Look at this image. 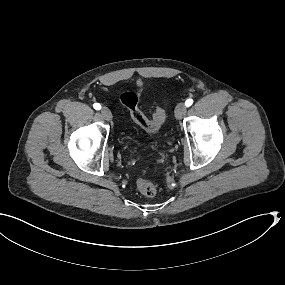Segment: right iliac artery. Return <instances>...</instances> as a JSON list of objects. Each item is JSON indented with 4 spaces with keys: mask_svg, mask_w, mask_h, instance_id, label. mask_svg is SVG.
<instances>
[{
    "mask_svg": "<svg viewBox=\"0 0 285 285\" xmlns=\"http://www.w3.org/2000/svg\"><path fill=\"white\" fill-rule=\"evenodd\" d=\"M93 107H94V109H96V110H100V109H101V105H100L99 103H95V104L93 105Z\"/></svg>",
    "mask_w": 285,
    "mask_h": 285,
    "instance_id": "obj_1",
    "label": "right iliac artery"
}]
</instances>
